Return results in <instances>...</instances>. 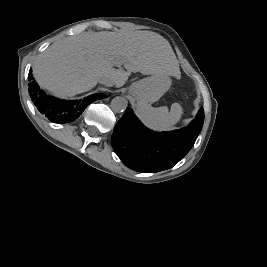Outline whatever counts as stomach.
Listing matches in <instances>:
<instances>
[{
    "instance_id": "stomach-1",
    "label": "stomach",
    "mask_w": 267,
    "mask_h": 267,
    "mask_svg": "<svg viewBox=\"0 0 267 267\" xmlns=\"http://www.w3.org/2000/svg\"><path fill=\"white\" fill-rule=\"evenodd\" d=\"M171 79L164 75H152L134 82L129 93L138 101L153 103L159 100L169 90Z\"/></svg>"
}]
</instances>
